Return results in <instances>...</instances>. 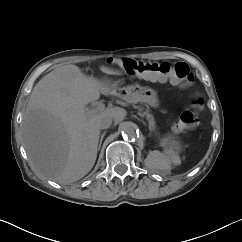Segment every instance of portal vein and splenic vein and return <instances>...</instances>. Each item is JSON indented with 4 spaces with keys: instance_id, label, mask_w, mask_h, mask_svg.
Masks as SVG:
<instances>
[{
    "instance_id": "1",
    "label": "portal vein and splenic vein",
    "mask_w": 242,
    "mask_h": 242,
    "mask_svg": "<svg viewBox=\"0 0 242 242\" xmlns=\"http://www.w3.org/2000/svg\"><path fill=\"white\" fill-rule=\"evenodd\" d=\"M105 110V105L103 103H99L95 109H91V110H88L87 111V114L88 115H92V114H95L97 112H102Z\"/></svg>"
}]
</instances>
